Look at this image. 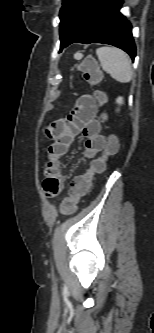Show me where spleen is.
Listing matches in <instances>:
<instances>
[{
	"label": "spleen",
	"mask_w": 154,
	"mask_h": 333,
	"mask_svg": "<svg viewBox=\"0 0 154 333\" xmlns=\"http://www.w3.org/2000/svg\"><path fill=\"white\" fill-rule=\"evenodd\" d=\"M96 54L104 71L118 82H130L133 76L129 56L115 47H100Z\"/></svg>",
	"instance_id": "1"
}]
</instances>
